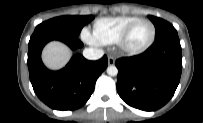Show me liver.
<instances>
[{"instance_id": "obj_1", "label": "liver", "mask_w": 203, "mask_h": 123, "mask_svg": "<svg viewBox=\"0 0 203 123\" xmlns=\"http://www.w3.org/2000/svg\"><path fill=\"white\" fill-rule=\"evenodd\" d=\"M71 55L72 53L66 45L52 41L43 49L42 60L47 68L58 70L66 65Z\"/></svg>"}]
</instances>
